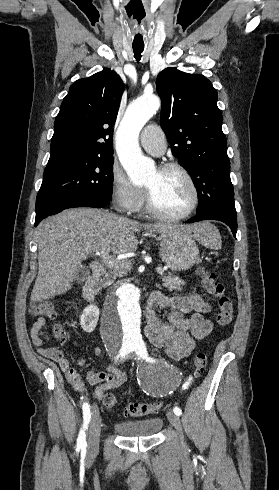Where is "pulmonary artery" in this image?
<instances>
[{
  "label": "pulmonary artery",
  "mask_w": 279,
  "mask_h": 490,
  "mask_svg": "<svg viewBox=\"0 0 279 490\" xmlns=\"http://www.w3.org/2000/svg\"><path fill=\"white\" fill-rule=\"evenodd\" d=\"M162 128L156 124L148 125L141 134V145L152 155L159 156L166 149V141L162 135Z\"/></svg>",
  "instance_id": "e3ab8cb5"
}]
</instances>
